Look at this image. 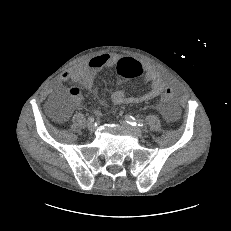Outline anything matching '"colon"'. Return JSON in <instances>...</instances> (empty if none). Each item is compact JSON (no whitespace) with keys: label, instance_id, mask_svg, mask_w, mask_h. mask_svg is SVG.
Masks as SVG:
<instances>
[{"label":"colon","instance_id":"colon-1","mask_svg":"<svg viewBox=\"0 0 231 231\" xmlns=\"http://www.w3.org/2000/svg\"><path fill=\"white\" fill-rule=\"evenodd\" d=\"M116 74L121 78H134L144 74L143 66L131 58H122L116 65ZM163 101L167 102L171 99L174 89L172 86L167 85L163 89Z\"/></svg>","mask_w":231,"mask_h":231}]
</instances>
